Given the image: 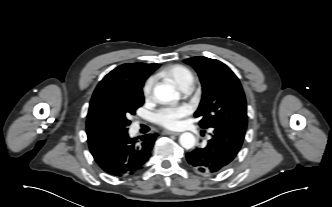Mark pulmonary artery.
Instances as JSON below:
<instances>
[{
	"instance_id": "e3ab8cb5",
	"label": "pulmonary artery",
	"mask_w": 332,
	"mask_h": 207,
	"mask_svg": "<svg viewBox=\"0 0 332 207\" xmlns=\"http://www.w3.org/2000/svg\"><path fill=\"white\" fill-rule=\"evenodd\" d=\"M183 91L187 92V91H189V88H186V89H184Z\"/></svg>"
}]
</instances>
